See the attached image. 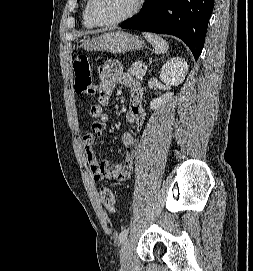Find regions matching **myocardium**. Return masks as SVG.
<instances>
[{
    "label": "myocardium",
    "instance_id": "myocardium-1",
    "mask_svg": "<svg viewBox=\"0 0 253 271\" xmlns=\"http://www.w3.org/2000/svg\"><path fill=\"white\" fill-rule=\"evenodd\" d=\"M144 3H145V0H137L132 10L129 11L124 16L110 22H103L98 18L95 12V0H89V14L92 21L95 23L96 26L108 28V27L116 26L122 22H125L131 19L132 17H134L135 15H137L141 11Z\"/></svg>",
    "mask_w": 253,
    "mask_h": 271
}]
</instances>
